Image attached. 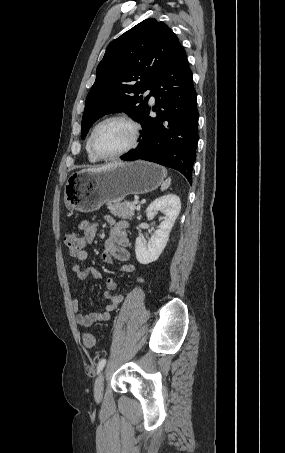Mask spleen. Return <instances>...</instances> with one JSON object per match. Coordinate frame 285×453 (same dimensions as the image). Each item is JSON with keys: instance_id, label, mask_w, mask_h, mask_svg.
<instances>
[{"instance_id": "obj_1", "label": "spleen", "mask_w": 285, "mask_h": 453, "mask_svg": "<svg viewBox=\"0 0 285 453\" xmlns=\"http://www.w3.org/2000/svg\"><path fill=\"white\" fill-rule=\"evenodd\" d=\"M171 184V178H168L167 180H165L162 185H161V190L164 191L166 189H168V187L170 186Z\"/></svg>"}]
</instances>
